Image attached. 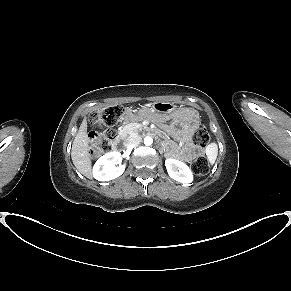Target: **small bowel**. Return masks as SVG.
<instances>
[{
  "mask_svg": "<svg viewBox=\"0 0 291 291\" xmlns=\"http://www.w3.org/2000/svg\"><path fill=\"white\" fill-rule=\"evenodd\" d=\"M133 116L132 110L126 109V120L131 119ZM171 116L173 121L166 126V129L179 143L169 144L167 153L172 158L181 161H190L198 155V151L191 142V136L198 126L200 111L196 107H177L173 109ZM152 117L158 121H164L168 118V116L165 115H154Z\"/></svg>",
  "mask_w": 291,
  "mask_h": 291,
  "instance_id": "small-bowel-1",
  "label": "small bowel"
}]
</instances>
